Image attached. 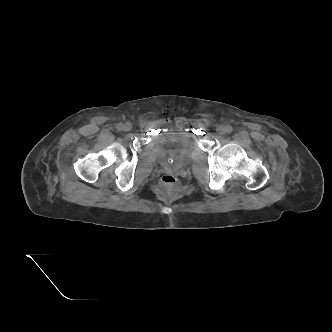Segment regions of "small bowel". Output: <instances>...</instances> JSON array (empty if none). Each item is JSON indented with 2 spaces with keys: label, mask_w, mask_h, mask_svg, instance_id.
Returning a JSON list of instances; mask_svg holds the SVG:
<instances>
[{
  "label": "small bowel",
  "mask_w": 332,
  "mask_h": 332,
  "mask_svg": "<svg viewBox=\"0 0 332 332\" xmlns=\"http://www.w3.org/2000/svg\"><path fill=\"white\" fill-rule=\"evenodd\" d=\"M178 130V128L177 127H173V128H171L169 131H177Z\"/></svg>",
  "instance_id": "obj_1"
}]
</instances>
